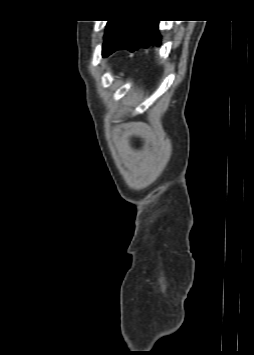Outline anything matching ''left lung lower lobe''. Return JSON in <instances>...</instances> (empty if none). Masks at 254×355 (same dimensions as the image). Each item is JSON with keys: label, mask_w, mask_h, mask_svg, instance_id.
I'll use <instances>...</instances> for the list:
<instances>
[{"label": "left lung lower lobe", "mask_w": 254, "mask_h": 355, "mask_svg": "<svg viewBox=\"0 0 254 355\" xmlns=\"http://www.w3.org/2000/svg\"><path fill=\"white\" fill-rule=\"evenodd\" d=\"M157 20H132L123 30L121 38L114 45L112 52L117 49L134 51L140 47L160 45L161 36L158 32Z\"/></svg>", "instance_id": "0a47b994"}]
</instances>
